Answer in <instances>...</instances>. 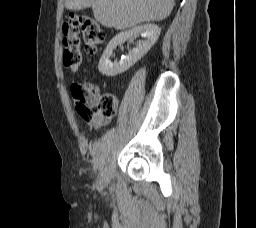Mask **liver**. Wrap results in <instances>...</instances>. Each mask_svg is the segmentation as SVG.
Here are the masks:
<instances>
[{"mask_svg":"<svg viewBox=\"0 0 256 228\" xmlns=\"http://www.w3.org/2000/svg\"><path fill=\"white\" fill-rule=\"evenodd\" d=\"M65 7L74 11L91 7L100 24L122 30L164 20L171 14L174 0H65Z\"/></svg>","mask_w":256,"mask_h":228,"instance_id":"obj_1","label":"liver"}]
</instances>
